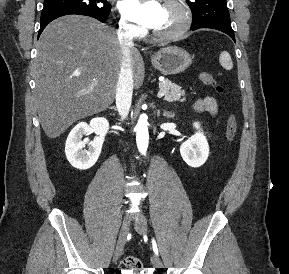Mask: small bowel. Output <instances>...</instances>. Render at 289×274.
<instances>
[{
    "mask_svg": "<svg viewBox=\"0 0 289 274\" xmlns=\"http://www.w3.org/2000/svg\"><path fill=\"white\" fill-rule=\"evenodd\" d=\"M193 108L196 112H207L212 116H215L218 112L217 102L211 96H205L197 99Z\"/></svg>",
    "mask_w": 289,
    "mask_h": 274,
    "instance_id": "small-bowel-1",
    "label": "small bowel"
}]
</instances>
